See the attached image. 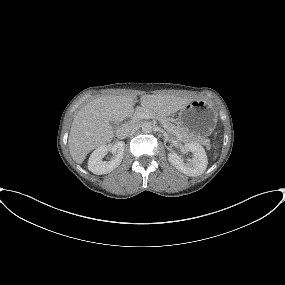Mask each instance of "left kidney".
<instances>
[{
    "mask_svg": "<svg viewBox=\"0 0 285 285\" xmlns=\"http://www.w3.org/2000/svg\"><path fill=\"white\" fill-rule=\"evenodd\" d=\"M184 148L193 154V157L188 162L184 160L176 153H169V162L180 172L188 176H199L207 168L208 159L205 149L197 143H186Z\"/></svg>",
    "mask_w": 285,
    "mask_h": 285,
    "instance_id": "left-kidney-1",
    "label": "left kidney"
}]
</instances>
